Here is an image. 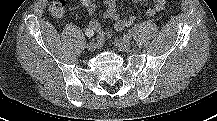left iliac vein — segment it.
<instances>
[{"instance_id": "1", "label": "left iliac vein", "mask_w": 217, "mask_h": 121, "mask_svg": "<svg viewBox=\"0 0 217 121\" xmlns=\"http://www.w3.org/2000/svg\"><path fill=\"white\" fill-rule=\"evenodd\" d=\"M114 44L120 51L124 52L130 51L132 47L130 41L127 39H116Z\"/></svg>"}]
</instances>
